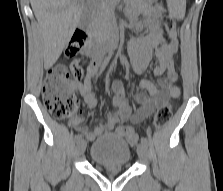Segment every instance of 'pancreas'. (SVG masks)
Wrapping results in <instances>:
<instances>
[{
	"label": "pancreas",
	"mask_w": 223,
	"mask_h": 191,
	"mask_svg": "<svg viewBox=\"0 0 223 191\" xmlns=\"http://www.w3.org/2000/svg\"><path fill=\"white\" fill-rule=\"evenodd\" d=\"M117 2L118 0H96L91 7L90 23L96 32L108 31Z\"/></svg>",
	"instance_id": "1"
}]
</instances>
